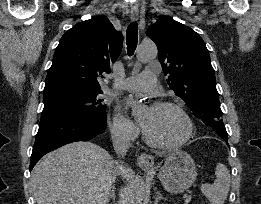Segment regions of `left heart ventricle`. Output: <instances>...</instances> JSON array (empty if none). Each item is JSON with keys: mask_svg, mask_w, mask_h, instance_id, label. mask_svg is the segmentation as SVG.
<instances>
[{"mask_svg": "<svg viewBox=\"0 0 261 204\" xmlns=\"http://www.w3.org/2000/svg\"><path fill=\"white\" fill-rule=\"evenodd\" d=\"M141 121L151 137L163 144L178 142L186 133L183 117L172 108H146Z\"/></svg>", "mask_w": 261, "mask_h": 204, "instance_id": "1", "label": "left heart ventricle"}]
</instances>
